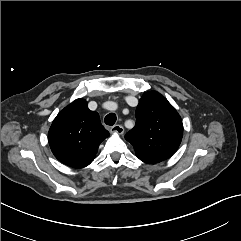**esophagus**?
Instances as JSON below:
<instances>
[{"label":"esophagus","mask_w":241,"mask_h":241,"mask_svg":"<svg viewBox=\"0 0 241 241\" xmlns=\"http://www.w3.org/2000/svg\"><path fill=\"white\" fill-rule=\"evenodd\" d=\"M110 132L116 134H123L124 128L121 125H114L111 127Z\"/></svg>","instance_id":"esophagus-1"}]
</instances>
